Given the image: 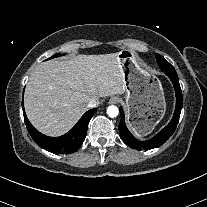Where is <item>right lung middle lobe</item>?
Returning <instances> with one entry per match:
<instances>
[{
    "label": "right lung middle lobe",
    "instance_id": "1",
    "mask_svg": "<svg viewBox=\"0 0 207 207\" xmlns=\"http://www.w3.org/2000/svg\"><path fill=\"white\" fill-rule=\"evenodd\" d=\"M58 56H60V54H55V55H53L52 57H50L49 59H51V58H55V57H58Z\"/></svg>",
    "mask_w": 207,
    "mask_h": 207
}]
</instances>
